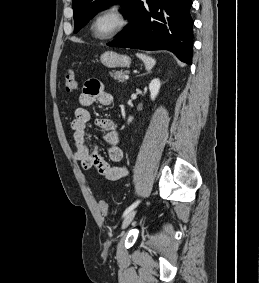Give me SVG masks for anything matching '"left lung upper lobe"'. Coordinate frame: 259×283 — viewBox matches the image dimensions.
Listing matches in <instances>:
<instances>
[{
	"label": "left lung upper lobe",
	"instance_id": "5c2ea615",
	"mask_svg": "<svg viewBox=\"0 0 259 283\" xmlns=\"http://www.w3.org/2000/svg\"><path fill=\"white\" fill-rule=\"evenodd\" d=\"M136 0H73L74 33H77L97 12L105 6L121 4L126 10L122 13L129 17Z\"/></svg>",
	"mask_w": 259,
	"mask_h": 283
}]
</instances>
